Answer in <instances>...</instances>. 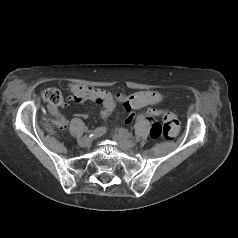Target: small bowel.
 Returning a JSON list of instances; mask_svg holds the SVG:
<instances>
[{"label": "small bowel", "instance_id": "obj_1", "mask_svg": "<svg viewBox=\"0 0 238 238\" xmlns=\"http://www.w3.org/2000/svg\"><path fill=\"white\" fill-rule=\"evenodd\" d=\"M71 96L70 100L82 103L92 101L102 106L101 117L106 120L112 114L116 100L111 92L104 89L86 87L79 84L70 85ZM119 100L124 104L128 115L125 119L126 123H131L134 120L132 110H138L148 105H154L162 100V95L155 91L135 92L128 97L118 96ZM156 110V109H155ZM50 113L55 117V123L59 128H65L68 124L67 120L59 115L56 107L49 108ZM77 116L87 118L86 114H78Z\"/></svg>", "mask_w": 238, "mask_h": 238}]
</instances>
